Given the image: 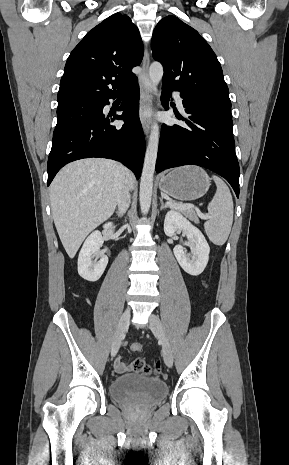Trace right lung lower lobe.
Returning <instances> with one entry per match:
<instances>
[{
    "label": "right lung lower lobe",
    "instance_id": "right-lung-lower-lobe-1",
    "mask_svg": "<svg viewBox=\"0 0 289 465\" xmlns=\"http://www.w3.org/2000/svg\"><path fill=\"white\" fill-rule=\"evenodd\" d=\"M127 94L119 110L122 115H104L103 107L109 99L102 101L101 112L92 120L79 123L53 136L47 171L49 186L56 173L67 163L90 157L109 158L122 162L138 179L141 174L145 152V139L137 107L139 86L137 80L127 87ZM111 97V98H115ZM123 119L122 127L111 125Z\"/></svg>",
    "mask_w": 289,
    "mask_h": 465
}]
</instances>
